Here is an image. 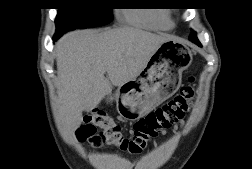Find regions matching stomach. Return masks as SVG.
Instances as JSON below:
<instances>
[{
  "label": "stomach",
  "instance_id": "1",
  "mask_svg": "<svg viewBox=\"0 0 252 169\" xmlns=\"http://www.w3.org/2000/svg\"><path fill=\"white\" fill-rule=\"evenodd\" d=\"M192 52L184 44L170 39L153 53L139 75L118 87L116 109L125 120H138L177 92L182 72L189 67Z\"/></svg>",
  "mask_w": 252,
  "mask_h": 169
}]
</instances>
